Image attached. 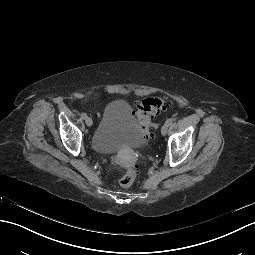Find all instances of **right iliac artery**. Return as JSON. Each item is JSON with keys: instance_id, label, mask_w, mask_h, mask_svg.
<instances>
[{"instance_id": "1", "label": "right iliac artery", "mask_w": 255, "mask_h": 255, "mask_svg": "<svg viewBox=\"0 0 255 255\" xmlns=\"http://www.w3.org/2000/svg\"><path fill=\"white\" fill-rule=\"evenodd\" d=\"M81 117H82L83 119H86V117H87L86 113H82V114H81Z\"/></svg>"}]
</instances>
